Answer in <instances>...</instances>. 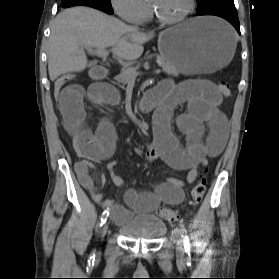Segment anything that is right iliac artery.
<instances>
[{
    "mask_svg": "<svg viewBox=\"0 0 279 279\" xmlns=\"http://www.w3.org/2000/svg\"><path fill=\"white\" fill-rule=\"evenodd\" d=\"M108 216H109V211H108V210H105V211L102 213V216H101V224H100V226H102V225L106 222Z\"/></svg>",
    "mask_w": 279,
    "mask_h": 279,
    "instance_id": "right-iliac-artery-1",
    "label": "right iliac artery"
}]
</instances>
